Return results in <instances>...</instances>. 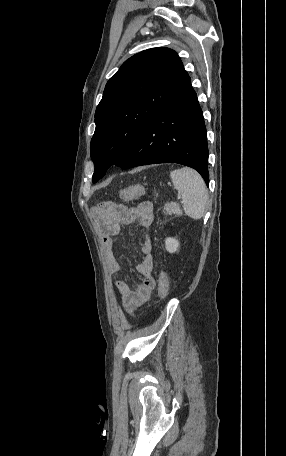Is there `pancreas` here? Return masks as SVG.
I'll use <instances>...</instances> for the list:
<instances>
[{"label":"pancreas","mask_w":286,"mask_h":456,"mask_svg":"<svg viewBox=\"0 0 286 456\" xmlns=\"http://www.w3.org/2000/svg\"><path fill=\"white\" fill-rule=\"evenodd\" d=\"M164 212L165 214H175L177 216H181L182 215V211L180 210V207L177 203L175 202H170V203H166L164 205Z\"/></svg>","instance_id":"1"}]
</instances>
